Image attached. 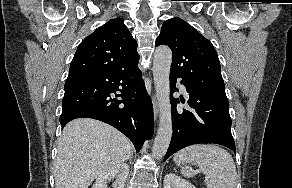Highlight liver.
Listing matches in <instances>:
<instances>
[{
  "instance_id": "6515ba94",
  "label": "liver",
  "mask_w": 292,
  "mask_h": 188,
  "mask_svg": "<svg viewBox=\"0 0 292 188\" xmlns=\"http://www.w3.org/2000/svg\"><path fill=\"white\" fill-rule=\"evenodd\" d=\"M133 153L127 137L101 121L75 119L63 129L54 164L55 188H88Z\"/></svg>"
}]
</instances>
